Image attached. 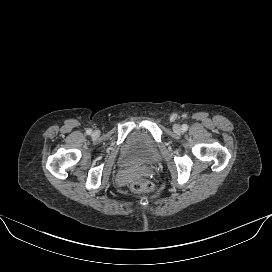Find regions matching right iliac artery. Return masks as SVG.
<instances>
[{"label":"right iliac artery","instance_id":"right-iliac-artery-1","mask_svg":"<svg viewBox=\"0 0 272 272\" xmlns=\"http://www.w3.org/2000/svg\"><path fill=\"white\" fill-rule=\"evenodd\" d=\"M86 133H87L88 135H90V134L92 133V130H91V129H87V130H86Z\"/></svg>","mask_w":272,"mask_h":272}]
</instances>
